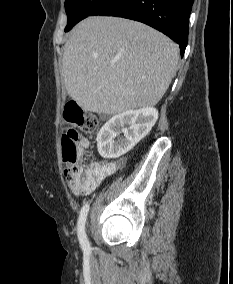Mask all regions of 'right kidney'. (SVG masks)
I'll use <instances>...</instances> for the list:
<instances>
[{
    "mask_svg": "<svg viewBox=\"0 0 233 284\" xmlns=\"http://www.w3.org/2000/svg\"><path fill=\"white\" fill-rule=\"evenodd\" d=\"M157 119L158 111L153 107L113 116L97 134L99 154L104 158H118L126 154L150 132ZM120 133L124 137H119Z\"/></svg>",
    "mask_w": 233,
    "mask_h": 284,
    "instance_id": "right-kidney-1",
    "label": "right kidney"
}]
</instances>
